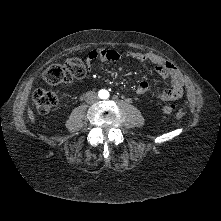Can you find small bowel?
I'll return each mask as SVG.
<instances>
[{
    "label": "small bowel",
    "instance_id": "c3829d8e",
    "mask_svg": "<svg viewBox=\"0 0 221 221\" xmlns=\"http://www.w3.org/2000/svg\"><path fill=\"white\" fill-rule=\"evenodd\" d=\"M123 55L139 62H150L154 65L156 72L170 82V87L162 89L158 93L161 100H176L183 95L184 79L177 67L164 58L150 52H137L126 50L123 54L114 49H94L87 55V65L90 69L94 61H119ZM149 90V84L145 81L139 83L136 93L145 95Z\"/></svg>",
    "mask_w": 221,
    "mask_h": 221
}]
</instances>
